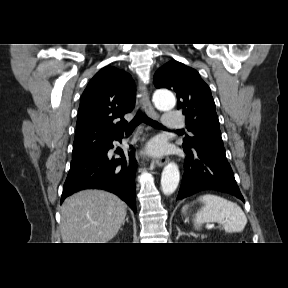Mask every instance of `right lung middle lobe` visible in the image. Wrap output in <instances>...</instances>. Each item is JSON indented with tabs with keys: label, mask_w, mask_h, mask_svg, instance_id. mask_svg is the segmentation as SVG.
<instances>
[{
	"label": "right lung middle lobe",
	"mask_w": 288,
	"mask_h": 288,
	"mask_svg": "<svg viewBox=\"0 0 288 288\" xmlns=\"http://www.w3.org/2000/svg\"><path fill=\"white\" fill-rule=\"evenodd\" d=\"M85 154L86 153H84L83 151H74V152H72V160L77 159V158H79Z\"/></svg>",
	"instance_id": "1"
}]
</instances>
